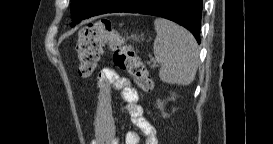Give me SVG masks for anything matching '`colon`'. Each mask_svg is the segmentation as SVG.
<instances>
[{
	"instance_id": "5ec220e1",
	"label": "colon",
	"mask_w": 273,
	"mask_h": 144,
	"mask_svg": "<svg viewBox=\"0 0 273 144\" xmlns=\"http://www.w3.org/2000/svg\"><path fill=\"white\" fill-rule=\"evenodd\" d=\"M105 43L113 49L115 66L127 72L141 90L151 91L152 81L147 67L108 19L92 22L81 29L77 43L80 75L88 77L95 71Z\"/></svg>"
}]
</instances>
